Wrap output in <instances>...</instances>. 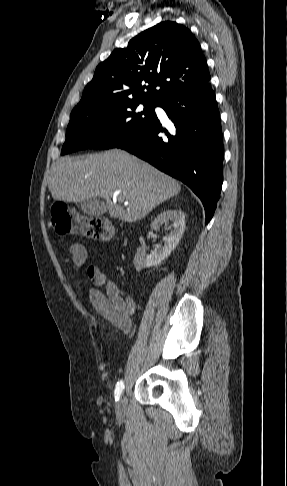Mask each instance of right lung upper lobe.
<instances>
[{"instance_id":"1","label":"right lung upper lobe","mask_w":287,"mask_h":486,"mask_svg":"<svg viewBox=\"0 0 287 486\" xmlns=\"http://www.w3.org/2000/svg\"><path fill=\"white\" fill-rule=\"evenodd\" d=\"M210 78L200 44L191 31L164 21L101 62L73 111L126 99L158 103L177 92L203 86Z\"/></svg>"}]
</instances>
